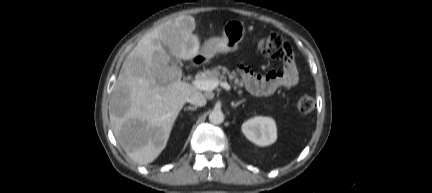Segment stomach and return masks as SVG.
Listing matches in <instances>:
<instances>
[{
	"instance_id": "0dacf381",
	"label": "stomach",
	"mask_w": 432,
	"mask_h": 193,
	"mask_svg": "<svg viewBox=\"0 0 432 193\" xmlns=\"http://www.w3.org/2000/svg\"><path fill=\"white\" fill-rule=\"evenodd\" d=\"M245 35V27L238 20L228 21L222 37H213L206 40L200 49V55L206 59L214 57L217 53L234 52L238 49Z\"/></svg>"
}]
</instances>
